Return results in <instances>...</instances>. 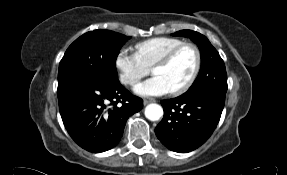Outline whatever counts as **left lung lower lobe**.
<instances>
[{
  "label": "left lung lower lobe",
  "mask_w": 287,
  "mask_h": 175,
  "mask_svg": "<svg viewBox=\"0 0 287 175\" xmlns=\"http://www.w3.org/2000/svg\"><path fill=\"white\" fill-rule=\"evenodd\" d=\"M164 117L155 134L168 149L187 153L205 143L215 130L225 104V96L212 92L163 100Z\"/></svg>",
  "instance_id": "obj_1"
}]
</instances>
